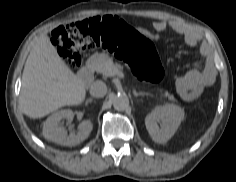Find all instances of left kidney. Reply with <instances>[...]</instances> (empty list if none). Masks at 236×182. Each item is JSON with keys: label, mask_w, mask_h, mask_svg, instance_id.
I'll use <instances>...</instances> for the list:
<instances>
[{"label": "left kidney", "mask_w": 236, "mask_h": 182, "mask_svg": "<svg viewBox=\"0 0 236 182\" xmlns=\"http://www.w3.org/2000/svg\"><path fill=\"white\" fill-rule=\"evenodd\" d=\"M184 119V110L173 104L155 107L145 118L147 131L156 143H166Z\"/></svg>", "instance_id": "1"}]
</instances>
